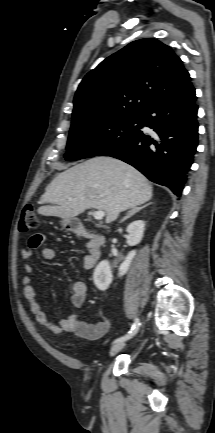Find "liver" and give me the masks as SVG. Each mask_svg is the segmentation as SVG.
Listing matches in <instances>:
<instances>
[{
	"label": "liver",
	"instance_id": "obj_1",
	"mask_svg": "<svg viewBox=\"0 0 215 433\" xmlns=\"http://www.w3.org/2000/svg\"><path fill=\"white\" fill-rule=\"evenodd\" d=\"M153 187L147 178L127 163L105 156L91 158L55 177L46 187L38 213L72 219L89 208L104 211L106 222L148 202Z\"/></svg>",
	"mask_w": 215,
	"mask_h": 433
}]
</instances>
